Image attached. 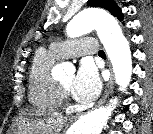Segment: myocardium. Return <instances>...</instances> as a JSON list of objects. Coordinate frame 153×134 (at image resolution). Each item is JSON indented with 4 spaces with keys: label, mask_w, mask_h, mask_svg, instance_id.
Here are the masks:
<instances>
[{
    "label": "myocardium",
    "mask_w": 153,
    "mask_h": 134,
    "mask_svg": "<svg viewBox=\"0 0 153 134\" xmlns=\"http://www.w3.org/2000/svg\"><path fill=\"white\" fill-rule=\"evenodd\" d=\"M59 89L63 96H68L69 90L66 89L60 82H58Z\"/></svg>",
    "instance_id": "1"
}]
</instances>
